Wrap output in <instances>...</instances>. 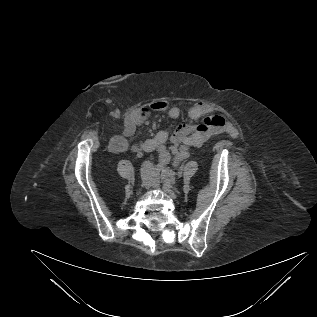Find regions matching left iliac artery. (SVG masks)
<instances>
[{
    "label": "left iliac artery",
    "instance_id": "1",
    "mask_svg": "<svg viewBox=\"0 0 317 317\" xmlns=\"http://www.w3.org/2000/svg\"><path fill=\"white\" fill-rule=\"evenodd\" d=\"M169 171H171V170H168L167 168L164 169V170L162 171V177L166 179V178L169 176ZM166 180H167V179H166Z\"/></svg>",
    "mask_w": 317,
    "mask_h": 317
}]
</instances>
